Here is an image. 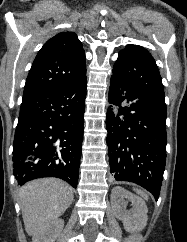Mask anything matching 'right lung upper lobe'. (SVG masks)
<instances>
[{
    "mask_svg": "<svg viewBox=\"0 0 187 242\" xmlns=\"http://www.w3.org/2000/svg\"><path fill=\"white\" fill-rule=\"evenodd\" d=\"M85 52L74 32L48 40L38 52L26 79L23 99L61 89L86 75Z\"/></svg>",
    "mask_w": 187,
    "mask_h": 242,
    "instance_id": "cb5924a9",
    "label": "right lung upper lobe"
}]
</instances>
